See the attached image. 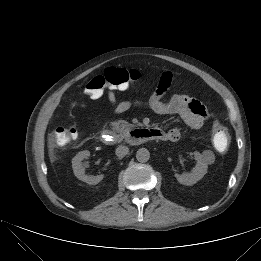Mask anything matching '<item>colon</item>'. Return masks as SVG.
Instances as JSON below:
<instances>
[{"instance_id": "colon-1", "label": "colon", "mask_w": 261, "mask_h": 261, "mask_svg": "<svg viewBox=\"0 0 261 261\" xmlns=\"http://www.w3.org/2000/svg\"><path fill=\"white\" fill-rule=\"evenodd\" d=\"M140 77V73L135 69L127 68H107L102 75L94 77L85 87V93L93 98L98 99L103 95L104 88L108 86L120 87L131 85ZM212 142L214 147L225 152L230 146V137L227 129L220 122L215 121L212 126ZM78 131L73 127H57L51 141L59 146H64L77 138Z\"/></svg>"}]
</instances>
